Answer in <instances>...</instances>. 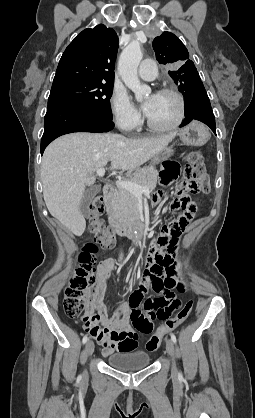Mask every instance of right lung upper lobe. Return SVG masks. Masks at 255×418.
<instances>
[{"mask_svg": "<svg viewBox=\"0 0 255 418\" xmlns=\"http://www.w3.org/2000/svg\"><path fill=\"white\" fill-rule=\"evenodd\" d=\"M117 49L113 29L100 24L83 30L64 51L52 85L68 81L114 83Z\"/></svg>", "mask_w": 255, "mask_h": 418, "instance_id": "1", "label": "right lung upper lobe"}]
</instances>
